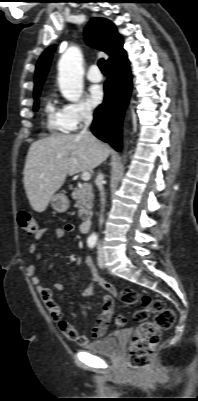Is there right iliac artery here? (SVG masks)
Here are the masks:
<instances>
[{"label":"right iliac artery","instance_id":"82829eb1","mask_svg":"<svg viewBox=\"0 0 198 401\" xmlns=\"http://www.w3.org/2000/svg\"><path fill=\"white\" fill-rule=\"evenodd\" d=\"M87 243H88V246H89L90 248H93V247L95 246V244H96V239H94V238H89V239L87 240Z\"/></svg>","mask_w":198,"mask_h":401}]
</instances>
